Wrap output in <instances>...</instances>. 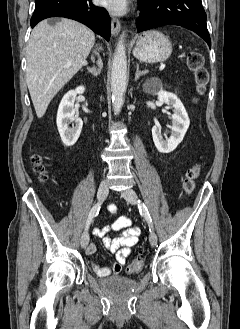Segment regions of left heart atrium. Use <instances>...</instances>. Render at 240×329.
Instances as JSON below:
<instances>
[{
  "instance_id": "1",
  "label": "left heart atrium",
  "mask_w": 240,
  "mask_h": 329,
  "mask_svg": "<svg viewBox=\"0 0 240 329\" xmlns=\"http://www.w3.org/2000/svg\"><path fill=\"white\" fill-rule=\"evenodd\" d=\"M101 4L113 13H122L126 9V0H101Z\"/></svg>"
}]
</instances>
